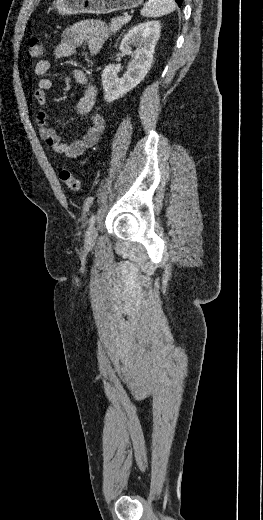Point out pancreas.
<instances>
[{
	"instance_id": "cf45deb5",
	"label": "pancreas",
	"mask_w": 263,
	"mask_h": 520,
	"mask_svg": "<svg viewBox=\"0 0 263 520\" xmlns=\"http://www.w3.org/2000/svg\"><path fill=\"white\" fill-rule=\"evenodd\" d=\"M129 20H125L124 17H115L111 19L109 29L112 33H116L120 30Z\"/></svg>"
}]
</instances>
